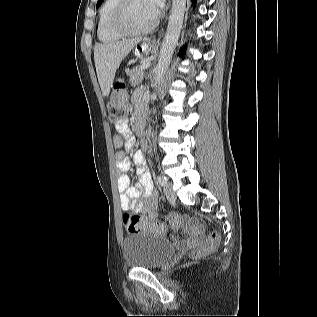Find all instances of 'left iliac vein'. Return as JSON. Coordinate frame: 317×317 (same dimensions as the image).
Here are the masks:
<instances>
[{
  "mask_svg": "<svg viewBox=\"0 0 317 317\" xmlns=\"http://www.w3.org/2000/svg\"><path fill=\"white\" fill-rule=\"evenodd\" d=\"M164 193L166 198L170 201V202H175L176 200V195L175 192L172 188L171 183H166V185L164 186Z\"/></svg>",
  "mask_w": 317,
  "mask_h": 317,
  "instance_id": "1",
  "label": "left iliac vein"
}]
</instances>
